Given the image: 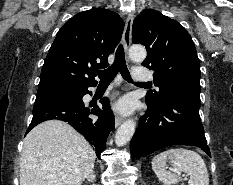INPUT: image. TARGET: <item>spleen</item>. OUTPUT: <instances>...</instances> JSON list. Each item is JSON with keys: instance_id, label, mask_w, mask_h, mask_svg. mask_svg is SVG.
<instances>
[{"instance_id": "1", "label": "spleen", "mask_w": 233, "mask_h": 185, "mask_svg": "<svg viewBox=\"0 0 233 185\" xmlns=\"http://www.w3.org/2000/svg\"><path fill=\"white\" fill-rule=\"evenodd\" d=\"M171 165L190 175L189 185H209V174L202 157L195 151L185 148H171L156 155L152 160V169L164 185L179 182L180 178L167 170V161Z\"/></svg>"}]
</instances>
